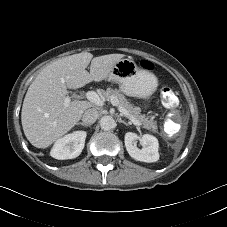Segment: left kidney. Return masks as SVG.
Returning a JSON list of instances; mask_svg holds the SVG:
<instances>
[{
	"instance_id": "5707ae66",
	"label": "left kidney",
	"mask_w": 227,
	"mask_h": 227,
	"mask_svg": "<svg viewBox=\"0 0 227 227\" xmlns=\"http://www.w3.org/2000/svg\"><path fill=\"white\" fill-rule=\"evenodd\" d=\"M139 140L140 144L143 146L139 149L135 144V140ZM125 147L128 154L137 161H142L146 163L156 162L159 159V143L156 137L150 134H144L138 136L133 132H127L125 134Z\"/></svg>"
}]
</instances>
